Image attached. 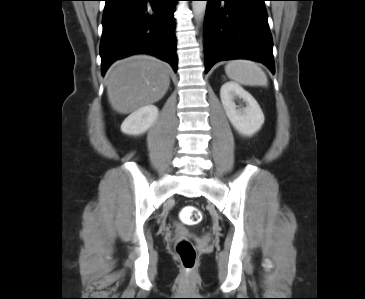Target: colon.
I'll return each mask as SVG.
<instances>
[{
  "instance_id": "colon-1",
  "label": "colon",
  "mask_w": 365,
  "mask_h": 299,
  "mask_svg": "<svg viewBox=\"0 0 365 299\" xmlns=\"http://www.w3.org/2000/svg\"><path fill=\"white\" fill-rule=\"evenodd\" d=\"M180 220L188 226H196L202 221V213L195 205L184 206L180 211ZM178 258L186 269L193 268L196 261L194 245L188 238H182L176 245Z\"/></svg>"
}]
</instances>
